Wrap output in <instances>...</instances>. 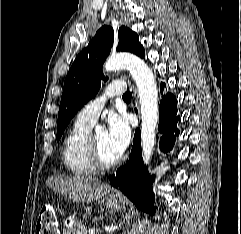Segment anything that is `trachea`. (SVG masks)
I'll use <instances>...</instances> for the list:
<instances>
[{
  "label": "trachea",
  "mask_w": 241,
  "mask_h": 234,
  "mask_svg": "<svg viewBox=\"0 0 241 234\" xmlns=\"http://www.w3.org/2000/svg\"><path fill=\"white\" fill-rule=\"evenodd\" d=\"M123 99H125V100L131 99V93H130L129 91H127V92L123 95Z\"/></svg>",
  "instance_id": "trachea-1"
}]
</instances>
